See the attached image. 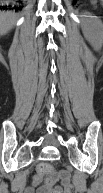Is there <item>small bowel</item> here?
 I'll return each mask as SVG.
<instances>
[{
  "label": "small bowel",
  "mask_w": 103,
  "mask_h": 193,
  "mask_svg": "<svg viewBox=\"0 0 103 193\" xmlns=\"http://www.w3.org/2000/svg\"><path fill=\"white\" fill-rule=\"evenodd\" d=\"M55 186L41 185V177L36 176L24 193H72V183L68 174L62 173Z\"/></svg>",
  "instance_id": "small-bowel-1"
}]
</instances>
